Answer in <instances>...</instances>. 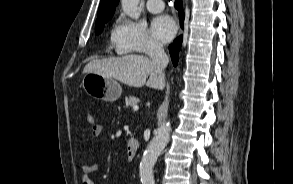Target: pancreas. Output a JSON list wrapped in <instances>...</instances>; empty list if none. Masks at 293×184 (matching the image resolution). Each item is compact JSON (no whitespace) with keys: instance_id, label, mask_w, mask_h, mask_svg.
Segmentation results:
<instances>
[{"instance_id":"cf45deb5","label":"pancreas","mask_w":293,"mask_h":184,"mask_svg":"<svg viewBox=\"0 0 293 184\" xmlns=\"http://www.w3.org/2000/svg\"><path fill=\"white\" fill-rule=\"evenodd\" d=\"M125 102H126V107H129V106L133 107L139 103V99L137 97L130 96L125 98Z\"/></svg>"}]
</instances>
